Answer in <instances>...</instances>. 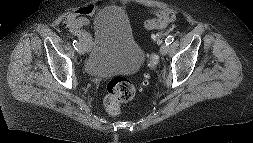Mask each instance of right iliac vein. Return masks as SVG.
I'll return each mask as SVG.
<instances>
[{
	"label": "right iliac vein",
	"instance_id": "right-iliac-vein-1",
	"mask_svg": "<svg viewBox=\"0 0 253 143\" xmlns=\"http://www.w3.org/2000/svg\"><path fill=\"white\" fill-rule=\"evenodd\" d=\"M86 50H87V47H86L84 44L81 43V44L79 45L77 51H78L79 54L84 55L85 52H86Z\"/></svg>",
	"mask_w": 253,
	"mask_h": 143
}]
</instances>
